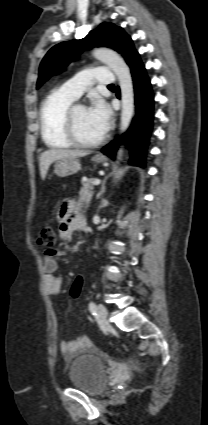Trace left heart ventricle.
<instances>
[{"mask_svg":"<svg viewBox=\"0 0 208 425\" xmlns=\"http://www.w3.org/2000/svg\"><path fill=\"white\" fill-rule=\"evenodd\" d=\"M74 121L76 133L82 141L92 142L102 137L86 108H78L75 111Z\"/></svg>","mask_w":208,"mask_h":425,"instance_id":"obj_1","label":"left heart ventricle"}]
</instances>
